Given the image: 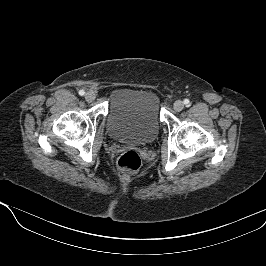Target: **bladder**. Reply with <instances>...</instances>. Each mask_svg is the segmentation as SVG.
I'll use <instances>...</instances> for the list:
<instances>
[{
  "label": "bladder",
  "mask_w": 266,
  "mask_h": 266,
  "mask_svg": "<svg viewBox=\"0 0 266 266\" xmlns=\"http://www.w3.org/2000/svg\"><path fill=\"white\" fill-rule=\"evenodd\" d=\"M160 124V98L153 90L121 88L113 93L106 125L113 139L149 144L156 139Z\"/></svg>",
  "instance_id": "31cf9c89"
}]
</instances>
